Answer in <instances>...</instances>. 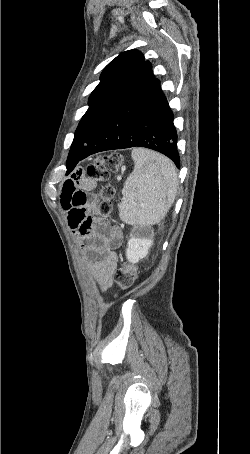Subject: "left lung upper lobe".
<instances>
[{
  "instance_id": "left-lung-upper-lobe-1",
  "label": "left lung upper lobe",
  "mask_w": 250,
  "mask_h": 454,
  "mask_svg": "<svg viewBox=\"0 0 250 454\" xmlns=\"http://www.w3.org/2000/svg\"><path fill=\"white\" fill-rule=\"evenodd\" d=\"M154 79L152 66L138 50L122 52L103 70L100 83L89 98L69 155H81L101 125Z\"/></svg>"
}]
</instances>
